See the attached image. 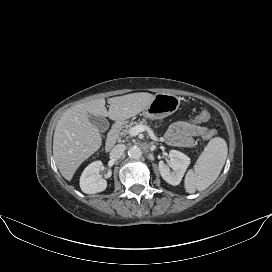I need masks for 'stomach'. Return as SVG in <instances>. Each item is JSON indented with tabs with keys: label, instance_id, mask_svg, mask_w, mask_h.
Instances as JSON below:
<instances>
[{
	"label": "stomach",
	"instance_id": "1",
	"mask_svg": "<svg viewBox=\"0 0 272 272\" xmlns=\"http://www.w3.org/2000/svg\"><path fill=\"white\" fill-rule=\"evenodd\" d=\"M179 106L180 99L176 95L158 93L143 111V116L149 119H162L176 112Z\"/></svg>",
	"mask_w": 272,
	"mask_h": 272
}]
</instances>
